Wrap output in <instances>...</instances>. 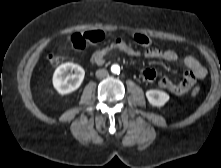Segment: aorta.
Listing matches in <instances>:
<instances>
[{
    "label": "aorta",
    "instance_id": "aorta-1",
    "mask_svg": "<svg viewBox=\"0 0 221 168\" xmlns=\"http://www.w3.org/2000/svg\"><path fill=\"white\" fill-rule=\"evenodd\" d=\"M111 71L114 74H119L120 73V66L118 64H113L111 66Z\"/></svg>",
    "mask_w": 221,
    "mask_h": 168
}]
</instances>
